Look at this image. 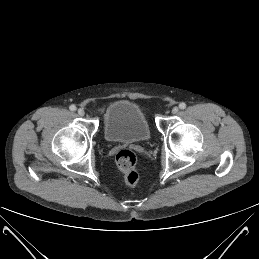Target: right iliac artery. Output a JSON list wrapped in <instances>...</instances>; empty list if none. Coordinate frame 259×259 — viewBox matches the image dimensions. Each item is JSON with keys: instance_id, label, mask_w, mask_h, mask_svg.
Here are the masks:
<instances>
[{"instance_id": "1", "label": "right iliac artery", "mask_w": 259, "mask_h": 259, "mask_svg": "<svg viewBox=\"0 0 259 259\" xmlns=\"http://www.w3.org/2000/svg\"><path fill=\"white\" fill-rule=\"evenodd\" d=\"M69 109H70L71 111H75L77 108H76L75 105H71V106L69 107Z\"/></svg>"}]
</instances>
